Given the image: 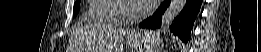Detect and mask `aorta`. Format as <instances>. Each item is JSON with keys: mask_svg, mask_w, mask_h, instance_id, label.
Instances as JSON below:
<instances>
[{"mask_svg": "<svg viewBox=\"0 0 261 52\" xmlns=\"http://www.w3.org/2000/svg\"><path fill=\"white\" fill-rule=\"evenodd\" d=\"M186 2L187 0H172L162 16V25H171L185 7Z\"/></svg>", "mask_w": 261, "mask_h": 52, "instance_id": "762f6f07", "label": "aorta"}]
</instances>
